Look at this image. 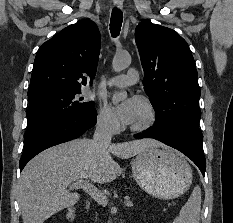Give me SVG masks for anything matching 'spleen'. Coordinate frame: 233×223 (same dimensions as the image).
I'll return each mask as SVG.
<instances>
[{
    "mask_svg": "<svg viewBox=\"0 0 233 223\" xmlns=\"http://www.w3.org/2000/svg\"><path fill=\"white\" fill-rule=\"evenodd\" d=\"M201 209V189L194 187L188 201L181 207L175 223H199Z\"/></svg>",
    "mask_w": 233,
    "mask_h": 223,
    "instance_id": "3e777b00",
    "label": "spleen"
}]
</instances>
